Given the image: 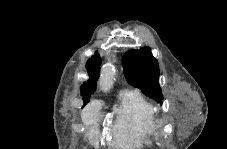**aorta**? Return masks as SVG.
I'll return each instance as SVG.
<instances>
[{
    "mask_svg": "<svg viewBox=\"0 0 227 149\" xmlns=\"http://www.w3.org/2000/svg\"><path fill=\"white\" fill-rule=\"evenodd\" d=\"M115 69L112 65L106 64L103 66L100 76V85L102 89L107 92L113 85V75Z\"/></svg>",
    "mask_w": 227,
    "mask_h": 149,
    "instance_id": "aorta-1",
    "label": "aorta"
}]
</instances>
